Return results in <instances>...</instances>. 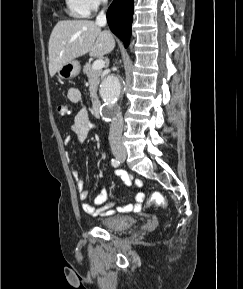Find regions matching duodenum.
Returning a JSON list of instances; mask_svg holds the SVG:
<instances>
[{"mask_svg": "<svg viewBox=\"0 0 243 289\" xmlns=\"http://www.w3.org/2000/svg\"><path fill=\"white\" fill-rule=\"evenodd\" d=\"M92 111L96 117L99 118L102 116V105H101V102L99 100L93 101Z\"/></svg>", "mask_w": 243, "mask_h": 289, "instance_id": "410a0bca", "label": "duodenum"}]
</instances>
